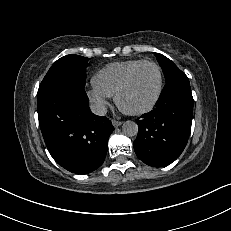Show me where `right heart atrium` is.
Wrapping results in <instances>:
<instances>
[{
    "label": "right heart atrium",
    "instance_id": "right-heart-atrium-1",
    "mask_svg": "<svg viewBox=\"0 0 231 231\" xmlns=\"http://www.w3.org/2000/svg\"><path fill=\"white\" fill-rule=\"evenodd\" d=\"M87 95L98 111L104 112L106 110L110 96L99 90L95 85L87 90Z\"/></svg>",
    "mask_w": 231,
    "mask_h": 231
}]
</instances>
